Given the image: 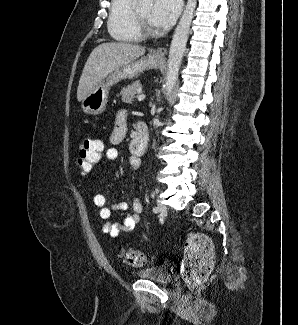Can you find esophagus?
I'll return each mask as SVG.
<instances>
[{"mask_svg": "<svg viewBox=\"0 0 298 325\" xmlns=\"http://www.w3.org/2000/svg\"><path fill=\"white\" fill-rule=\"evenodd\" d=\"M166 54H167V50H166V48H163V47L162 48H158V49H156V50L153 51V55L155 57H159V58L165 57Z\"/></svg>", "mask_w": 298, "mask_h": 325, "instance_id": "esophagus-1", "label": "esophagus"}]
</instances>
